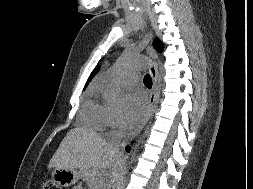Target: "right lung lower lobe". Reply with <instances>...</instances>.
<instances>
[{"mask_svg": "<svg viewBox=\"0 0 253 189\" xmlns=\"http://www.w3.org/2000/svg\"><path fill=\"white\" fill-rule=\"evenodd\" d=\"M126 150H127V151H129V150H130V148H129V147H127V148H126Z\"/></svg>", "mask_w": 253, "mask_h": 189, "instance_id": "obj_1", "label": "right lung lower lobe"}]
</instances>
